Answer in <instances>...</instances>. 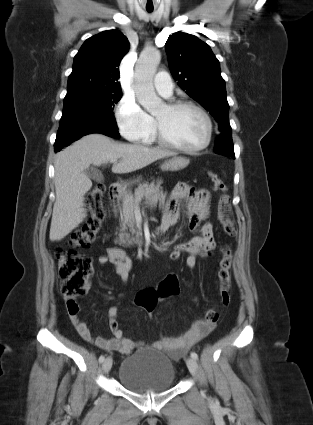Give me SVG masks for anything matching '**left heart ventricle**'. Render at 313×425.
I'll return each instance as SVG.
<instances>
[{
  "mask_svg": "<svg viewBox=\"0 0 313 425\" xmlns=\"http://www.w3.org/2000/svg\"><path fill=\"white\" fill-rule=\"evenodd\" d=\"M154 116L165 135L179 145L194 148L205 140L207 131L205 120L193 109L170 111L164 106Z\"/></svg>",
  "mask_w": 313,
  "mask_h": 425,
  "instance_id": "1",
  "label": "left heart ventricle"
}]
</instances>
